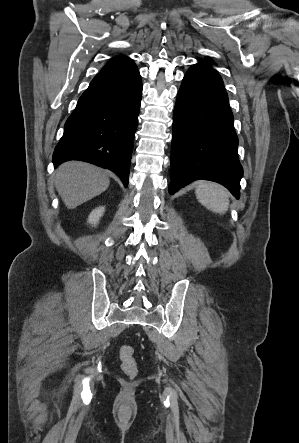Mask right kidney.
Here are the masks:
<instances>
[{
  "instance_id": "right-kidney-1",
  "label": "right kidney",
  "mask_w": 299,
  "mask_h": 443,
  "mask_svg": "<svg viewBox=\"0 0 299 443\" xmlns=\"http://www.w3.org/2000/svg\"><path fill=\"white\" fill-rule=\"evenodd\" d=\"M103 213H104V207H99L93 210L88 217V222L95 226L96 224H98L99 219L101 218Z\"/></svg>"
}]
</instances>
